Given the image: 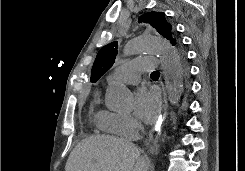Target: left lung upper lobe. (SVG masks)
Here are the masks:
<instances>
[{"mask_svg": "<svg viewBox=\"0 0 245 171\" xmlns=\"http://www.w3.org/2000/svg\"><path fill=\"white\" fill-rule=\"evenodd\" d=\"M138 22L149 23L176 48L179 61H186L185 53L182 50L180 41L176 36L172 25L166 20L163 12L145 13L139 17ZM117 48V42H112L99 50L91 71V82H97L99 78L112 67L117 55Z\"/></svg>", "mask_w": 245, "mask_h": 171, "instance_id": "5c2ea615", "label": "left lung upper lobe"}]
</instances>
